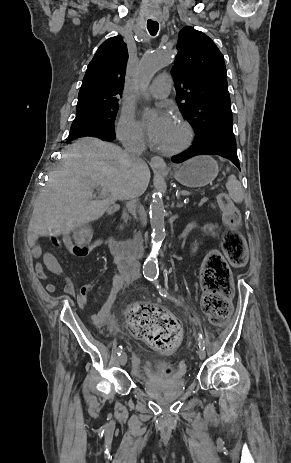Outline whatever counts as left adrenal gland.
<instances>
[{
  "label": "left adrenal gland",
  "mask_w": 291,
  "mask_h": 463,
  "mask_svg": "<svg viewBox=\"0 0 291 463\" xmlns=\"http://www.w3.org/2000/svg\"><path fill=\"white\" fill-rule=\"evenodd\" d=\"M181 206H182V204H180V203L177 204V207H181Z\"/></svg>",
  "instance_id": "obj_1"
}]
</instances>
